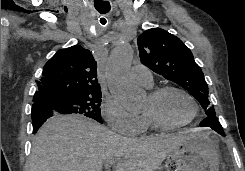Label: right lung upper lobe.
Returning <instances> with one entry per match:
<instances>
[{
	"label": "right lung upper lobe",
	"instance_id": "cb5924a9",
	"mask_svg": "<svg viewBox=\"0 0 245 171\" xmlns=\"http://www.w3.org/2000/svg\"><path fill=\"white\" fill-rule=\"evenodd\" d=\"M97 63L91 52L80 45L61 49L45 64L33 101L43 102L53 95L101 93Z\"/></svg>",
	"mask_w": 245,
	"mask_h": 171
}]
</instances>
